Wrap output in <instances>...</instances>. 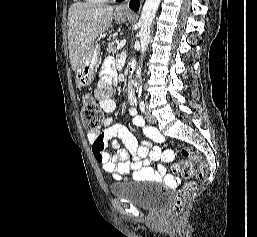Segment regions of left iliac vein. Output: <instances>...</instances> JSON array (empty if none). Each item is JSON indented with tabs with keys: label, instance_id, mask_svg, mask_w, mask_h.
Masks as SVG:
<instances>
[{
	"label": "left iliac vein",
	"instance_id": "left-iliac-vein-1",
	"mask_svg": "<svg viewBox=\"0 0 257 237\" xmlns=\"http://www.w3.org/2000/svg\"><path fill=\"white\" fill-rule=\"evenodd\" d=\"M146 118L150 123H155L156 122V118L154 117V115L151 113V111H148L146 114Z\"/></svg>",
	"mask_w": 257,
	"mask_h": 237
}]
</instances>
